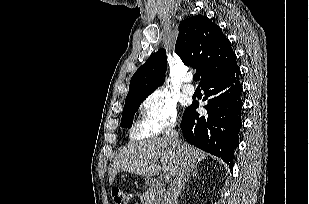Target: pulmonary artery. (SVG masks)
Masks as SVG:
<instances>
[{
	"label": "pulmonary artery",
	"instance_id": "e3ab8cb5",
	"mask_svg": "<svg viewBox=\"0 0 309 204\" xmlns=\"http://www.w3.org/2000/svg\"><path fill=\"white\" fill-rule=\"evenodd\" d=\"M182 90L187 95H193L195 92V87L190 83V79L186 78Z\"/></svg>",
	"mask_w": 309,
	"mask_h": 204
}]
</instances>
